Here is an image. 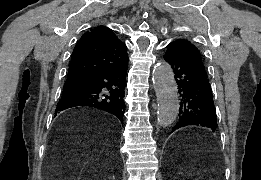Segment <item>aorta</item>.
Masks as SVG:
<instances>
[{
  "mask_svg": "<svg viewBox=\"0 0 261 180\" xmlns=\"http://www.w3.org/2000/svg\"><path fill=\"white\" fill-rule=\"evenodd\" d=\"M153 86L157 97V122L162 127L174 123L179 113V96L174 73L169 63H158L152 72Z\"/></svg>",
  "mask_w": 261,
  "mask_h": 180,
  "instance_id": "obj_1",
  "label": "aorta"
}]
</instances>
